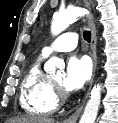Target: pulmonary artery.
I'll use <instances>...</instances> for the list:
<instances>
[{"label":"pulmonary artery","instance_id":"obj_1","mask_svg":"<svg viewBox=\"0 0 118 123\" xmlns=\"http://www.w3.org/2000/svg\"><path fill=\"white\" fill-rule=\"evenodd\" d=\"M78 43V34L75 32H67L60 35L53 42L46 45L42 49L44 57L49 56L55 52H68L75 49Z\"/></svg>","mask_w":118,"mask_h":123}]
</instances>
